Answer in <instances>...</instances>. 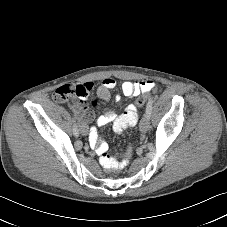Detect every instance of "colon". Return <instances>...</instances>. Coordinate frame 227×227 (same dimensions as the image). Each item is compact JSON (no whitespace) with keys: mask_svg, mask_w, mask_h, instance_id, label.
Here are the masks:
<instances>
[{"mask_svg":"<svg viewBox=\"0 0 227 227\" xmlns=\"http://www.w3.org/2000/svg\"><path fill=\"white\" fill-rule=\"evenodd\" d=\"M81 88L77 85H72V84H67V85H63L61 87H59L56 91H55V99L56 100H60V99H68V98H73L76 95L81 94ZM148 98V95H142L140 97L137 98L136 100V105L137 106H142L144 105V103L146 102ZM97 102H94V105ZM131 155V150H127L121 161L117 160L116 158L108 155V154H103L100 157V161L101 164L103 165L104 168L108 169V170H117L122 168L126 162L128 161L129 157Z\"/></svg>","mask_w":227,"mask_h":227,"instance_id":"5ec220e1","label":"colon"}]
</instances>
